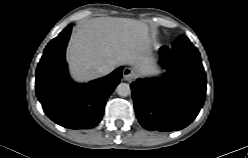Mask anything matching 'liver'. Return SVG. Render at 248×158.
<instances>
[{"label": "liver", "mask_w": 248, "mask_h": 158, "mask_svg": "<svg viewBox=\"0 0 248 158\" xmlns=\"http://www.w3.org/2000/svg\"><path fill=\"white\" fill-rule=\"evenodd\" d=\"M72 76L78 81L100 77V66L132 65L141 74H155L148 26L138 20L100 17L77 25L67 49Z\"/></svg>", "instance_id": "liver-1"}]
</instances>
